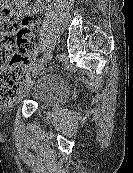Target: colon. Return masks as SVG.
Wrapping results in <instances>:
<instances>
[{
  "label": "colon",
  "mask_w": 133,
  "mask_h": 173,
  "mask_svg": "<svg viewBox=\"0 0 133 173\" xmlns=\"http://www.w3.org/2000/svg\"><path fill=\"white\" fill-rule=\"evenodd\" d=\"M33 22L0 6V104L13 103L24 88L22 66L32 45Z\"/></svg>",
  "instance_id": "1"
}]
</instances>
